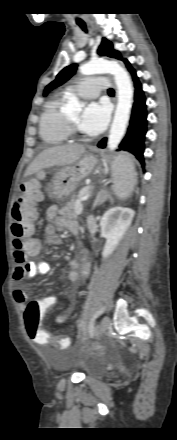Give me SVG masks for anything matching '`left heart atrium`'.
<instances>
[{"instance_id":"obj_1","label":"left heart atrium","mask_w":177,"mask_h":440,"mask_svg":"<svg viewBox=\"0 0 177 440\" xmlns=\"http://www.w3.org/2000/svg\"><path fill=\"white\" fill-rule=\"evenodd\" d=\"M110 110L104 102H91L79 117L77 127L84 133L95 135L101 133L107 126Z\"/></svg>"}]
</instances>
